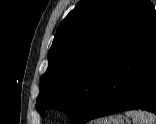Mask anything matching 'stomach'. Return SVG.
<instances>
[{
    "instance_id": "1",
    "label": "stomach",
    "mask_w": 156,
    "mask_h": 124,
    "mask_svg": "<svg viewBox=\"0 0 156 124\" xmlns=\"http://www.w3.org/2000/svg\"><path fill=\"white\" fill-rule=\"evenodd\" d=\"M106 124H131L130 120L121 116L116 115L105 122Z\"/></svg>"
}]
</instances>
